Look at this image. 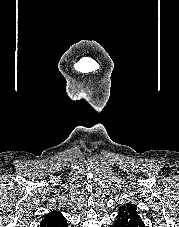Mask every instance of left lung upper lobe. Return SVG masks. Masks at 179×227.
Listing matches in <instances>:
<instances>
[{
    "label": "left lung upper lobe",
    "instance_id": "obj_1",
    "mask_svg": "<svg viewBox=\"0 0 179 227\" xmlns=\"http://www.w3.org/2000/svg\"><path fill=\"white\" fill-rule=\"evenodd\" d=\"M115 227H144V224L133 205L126 204L119 207Z\"/></svg>",
    "mask_w": 179,
    "mask_h": 227
}]
</instances>
